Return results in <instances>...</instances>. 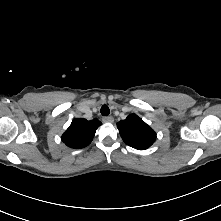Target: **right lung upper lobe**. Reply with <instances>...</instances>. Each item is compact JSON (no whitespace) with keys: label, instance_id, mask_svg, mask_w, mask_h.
Listing matches in <instances>:
<instances>
[{"label":"right lung upper lobe","instance_id":"obj_1","mask_svg":"<svg viewBox=\"0 0 221 221\" xmlns=\"http://www.w3.org/2000/svg\"><path fill=\"white\" fill-rule=\"evenodd\" d=\"M102 123L98 119H74L70 127L62 135V141L70 148L79 149L86 147L92 141L96 129Z\"/></svg>","mask_w":221,"mask_h":221}]
</instances>
